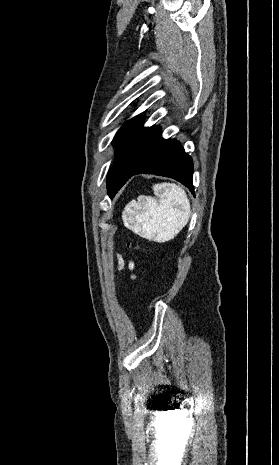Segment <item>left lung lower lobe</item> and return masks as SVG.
<instances>
[{
  "mask_svg": "<svg viewBox=\"0 0 279 465\" xmlns=\"http://www.w3.org/2000/svg\"><path fill=\"white\" fill-rule=\"evenodd\" d=\"M137 174H155L170 177L179 181L194 193L192 159L175 139L166 140L133 175Z\"/></svg>",
  "mask_w": 279,
  "mask_h": 465,
  "instance_id": "1",
  "label": "left lung lower lobe"
}]
</instances>
